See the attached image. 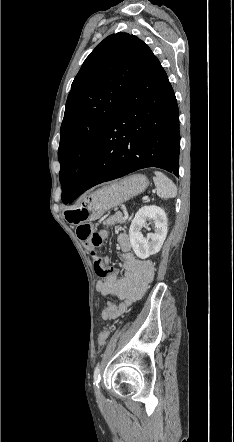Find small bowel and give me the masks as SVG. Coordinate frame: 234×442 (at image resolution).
Segmentation results:
<instances>
[{
	"label": "small bowel",
	"instance_id": "c3829d8e",
	"mask_svg": "<svg viewBox=\"0 0 234 442\" xmlns=\"http://www.w3.org/2000/svg\"><path fill=\"white\" fill-rule=\"evenodd\" d=\"M124 216L120 212L107 217L104 224L107 227L119 225L123 222ZM101 243L108 237V231L103 229L98 233ZM118 248L124 259V275L120 278L115 268L109 265L108 257H100L90 252L94 269L99 276L96 283V290L104 295H113L121 300L120 303L109 301L102 310L103 320L110 321L118 318L126 312L128 307L136 300L143 297L149 283L154 276V266L148 260L137 258L131 252V241L129 236L121 232L117 237Z\"/></svg>",
	"mask_w": 234,
	"mask_h": 442
}]
</instances>
